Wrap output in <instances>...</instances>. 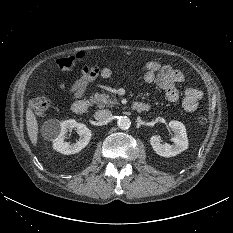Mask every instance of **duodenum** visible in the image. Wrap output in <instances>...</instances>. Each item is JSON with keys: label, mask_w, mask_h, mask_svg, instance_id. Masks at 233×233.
<instances>
[{"label": "duodenum", "mask_w": 233, "mask_h": 233, "mask_svg": "<svg viewBox=\"0 0 233 233\" xmlns=\"http://www.w3.org/2000/svg\"><path fill=\"white\" fill-rule=\"evenodd\" d=\"M89 106V101L86 99H79L73 102L71 109L76 115L84 114ZM150 105L145 102H134L131 105V109L135 112L144 113L150 110Z\"/></svg>", "instance_id": "410a0bca"}]
</instances>
